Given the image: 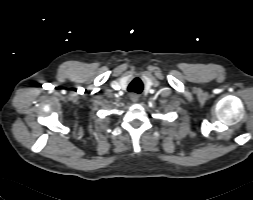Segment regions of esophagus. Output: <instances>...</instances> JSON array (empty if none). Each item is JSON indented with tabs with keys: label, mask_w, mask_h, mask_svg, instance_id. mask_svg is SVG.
Listing matches in <instances>:
<instances>
[{
	"label": "esophagus",
	"mask_w": 253,
	"mask_h": 200,
	"mask_svg": "<svg viewBox=\"0 0 253 200\" xmlns=\"http://www.w3.org/2000/svg\"><path fill=\"white\" fill-rule=\"evenodd\" d=\"M130 99L132 102H138L139 96L137 94H131Z\"/></svg>",
	"instance_id": "34e87169"
}]
</instances>
